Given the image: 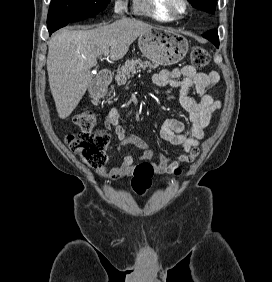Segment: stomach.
Listing matches in <instances>:
<instances>
[{"label":"stomach","mask_w":272,"mask_h":282,"mask_svg":"<svg viewBox=\"0 0 272 282\" xmlns=\"http://www.w3.org/2000/svg\"><path fill=\"white\" fill-rule=\"evenodd\" d=\"M138 46L148 59L165 66L181 61L189 48L184 36L165 27H153L141 34L138 38Z\"/></svg>","instance_id":"stomach-1"}]
</instances>
